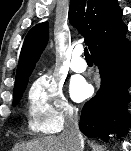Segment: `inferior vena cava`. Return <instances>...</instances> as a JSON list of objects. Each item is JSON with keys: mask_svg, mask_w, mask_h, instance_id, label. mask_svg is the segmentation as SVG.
<instances>
[{"mask_svg": "<svg viewBox=\"0 0 131 151\" xmlns=\"http://www.w3.org/2000/svg\"><path fill=\"white\" fill-rule=\"evenodd\" d=\"M73 147V151H83L84 140L78 126L77 112L73 108L68 109V115L65 118L64 130L61 134Z\"/></svg>", "mask_w": 131, "mask_h": 151, "instance_id": "1", "label": "inferior vena cava"}]
</instances>
